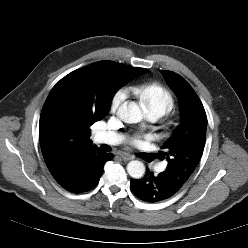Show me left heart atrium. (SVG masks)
Segmentation results:
<instances>
[{
	"label": "left heart atrium",
	"instance_id": "39dd6f15",
	"mask_svg": "<svg viewBox=\"0 0 248 248\" xmlns=\"http://www.w3.org/2000/svg\"><path fill=\"white\" fill-rule=\"evenodd\" d=\"M142 139L143 137L141 135L136 134L131 137L130 142L133 145H139Z\"/></svg>",
	"mask_w": 248,
	"mask_h": 248
}]
</instances>
